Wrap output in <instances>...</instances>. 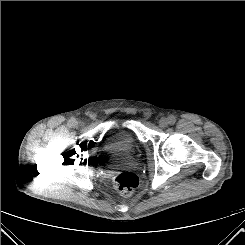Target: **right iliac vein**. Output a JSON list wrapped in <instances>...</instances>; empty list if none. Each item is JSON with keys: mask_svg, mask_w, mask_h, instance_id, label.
Returning a JSON list of instances; mask_svg holds the SVG:
<instances>
[{"mask_svg": "<svg viewBox=\"0 0 245 245\" xmlns=\"http://www.w3.org/2000/svg\"><path fill=\"white\" fill-rule=\"evenodd\" d=\"M77 128H81L83 126V123L82 122H76V125H75Z\"/></svg>", "mask_w": 245, "mask_h": 245, "instance_id": "63e3f726", "label": "right iliac vein"}]
</instances>
